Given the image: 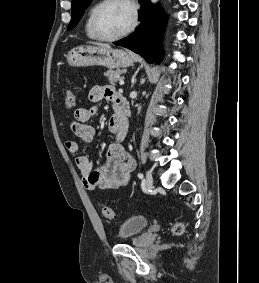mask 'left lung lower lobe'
<instances>
[{"instance_id":"1","label":"left lung lower lobe","mask_w":259,"mask_h":283,"mask_svg":"<svg viewBox=\"0 0 259 283\" xmlns=\"http://www.w3.org/2000/svg\"><path fill=\"white\" fill-rule=\"evenodd\" d=\"M141 25L128 38L115 43L143 56L149 63L161 60L163 53L159 50L162 17L158 7H153L149 0H139Z\"/></svg>"}]
</instances>
